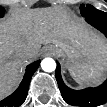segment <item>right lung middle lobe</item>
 I'll use <instances>...</instances> for the list:
<instances>
[{
    "instance_id": "dd1d6c3e",
    "label": "right lung middle lobe",
    "mask_w": 107,
    "mask_h": 107,
    "mask_svg": "<svg viewBox=\"0 0 107 107\" xmlns=\"http://www.w3.org/2000/svg\"><path fill=\"white\" fill-rule=\"evenodd\" d=\"M3 14H4V9L1 7V8H0V16L2 17Z\"/></svg>"
}]
</instances>
